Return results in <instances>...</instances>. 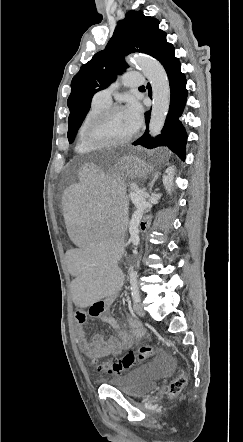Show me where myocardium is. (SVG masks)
<instances>
[{
    "label": "myocardium",
    "instance_id": "obj_1",
    "mask_svg": "<svg viewBox=\"0 0 243 442\" xmlns=\"http://www.w3.org/2000/svg\"><path fill=\"white\" fill-rule=\"evenodd\" d=\"M124 110V108L120 105H109L105 109L101 110L97 114H95L93 117H91L88 122L86 123L85 129H84V138L87 141L89 145L96 149L100 148H113L118 146H123L127 143H129L133 138L136 136V131H134L131 135L128 137L117 140V141H99L95 138L93 131L95 127L104 122L106 119H108L113 113Z\"/></svg>",
    "mask_w": 243,
    "mask_h": 442
}]
</instances>
